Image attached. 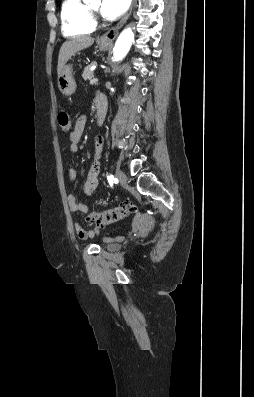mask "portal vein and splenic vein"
Returning a JSON list of instances; mask_svg holds the SVG:
<instances>
[{
    "instance_id": "18ae733b",
    "label": "portal vein and splenic vein",
    "mask_w": 254,
    "mask_h": 397,
    "mask_svg": "<svg viewBox=\"0 0 254 397\" xmlns=\"http://www.w3.org/2000/svg\"><path fill=\"white\" fill-rule=\"evenodd\" d=\"M98 82L97 78H93L90 80V84H96Z\"/></svg>"
}]
</instances>
